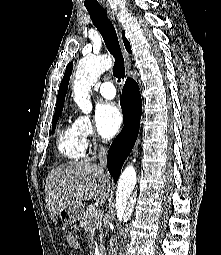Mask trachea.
<instances>
[{
  "mask_svg": "<svg viewBox=\"0 0 221 255\" xmlns=\"http://www.w3.org/2000/svg\"><path fill=\"white\" fill-rule=\"evenodd\" d=\"M87 10L93 24L100 31L108 51L115 59L113 75L118 82H121L125 77V66L116 30L103 8H87Z\"/></svg>",
  "mask_w": 221,
  "mask_h": 255,
  "instance_id": "3493384b",
  "label": "trachea"
}]
</instances>
